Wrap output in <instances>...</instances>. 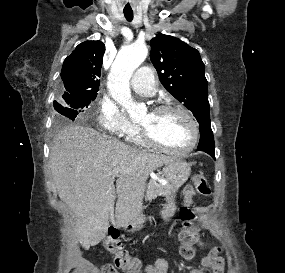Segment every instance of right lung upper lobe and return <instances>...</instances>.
<instances>
[{"label": "right lung upper lobe", "instance_id": "right-lung-upper-lobe-1", "mask_svg": "<svg viewBox=\"0 0 285 273\" xmlns=\"http://www.w3.org/2000/svg\"><path fill=\"white\" fill-rule=\"evenodd\" d=\"M105 45L101 41L80 43L62 67L64 97L97 93Z\"/></svg>", "mask_w": 285, "mask_h": 273}]
</instances>
